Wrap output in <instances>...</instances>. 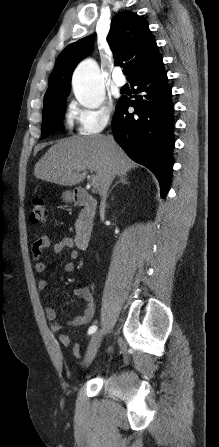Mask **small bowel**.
I'll return each instance as SVG.
<instances>
[{
  "mask_svg": "<svg viewBox=\"0 0 219 447\" xmlns=\"http://www.w3.org/2000/svg\"><path fill=\"white\" fill-rule=\"evenodd\" d=\"M51 246V240L47 235L39 236L33 243V253L36 258L35 270L38 273H42L46 269V263L40 259L42 251ZM55 252L60 253L64 250H69V261L64 266V273H71L74 271V261L79 258V251L75 248L74 241L71 237H63L53 245ZM37 287L40 291H43L47 287V282L41 279L37 283ZM73 295L81 298L85 301V308L81 315L76 316L67 322H61L57 320V311L52 307H47L45 310L46 318L49 322L51 331L59 332L63 327H81L91 322L95 312V301L88 286H80L72 291ZM61 343L68 347L71 345V339L68 335L60 336ZM80 346H73V353L75 356H80Z\"/></svg>",
  "mask_w": 219,
  "mask_h": 447,
  "instance_id": "small-bowel-1",
  "label": "small bowel"
}]
</instances>
